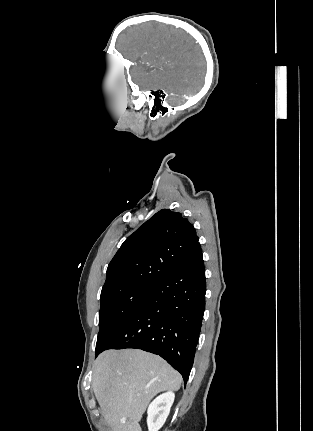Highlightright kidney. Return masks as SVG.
I'll list each match as a JSON object with an SVG mask.
<instances>
[{
  "label": "right kidney",
  "instance_id": "1",
  "mask_svg": "<svg viewBox=\"0 0 313 431\" xmlns=\"http://www.w3.org/2000/svg\"><path fill=\"white\" fill-rule=\"evenodd\" d=\"M174 398L175 394L169 391L159 395L152 401L147 410V425L149 431H158L164 425L170 413Z\"/></svg>",
  "mask_w": 313,
  "mask_h": 431
}]
</instances>
